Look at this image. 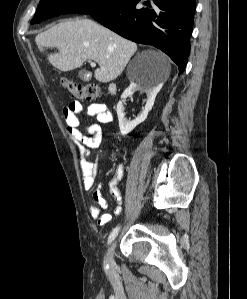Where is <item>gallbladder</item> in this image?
<instances>
[{"label":"gallbladder","mask_w":247,"mask_h":299,"mask_svg":"<svg viewBox=\"0 0 247 299\" xmlns=\"http://www.w3.org/2000/svg\"><path fill=\"white\" fill-rule=\"evenodd\" d=\"M86 74H87L86 71L83 70L79 73V77L84 79V80H87V79H89V77L87 78Z\"/></svg>","instance_id":"obj_1"}]
</instances>
